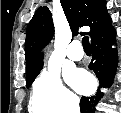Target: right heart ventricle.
I'll list each match as a JSON object with an SVG mask.
<instances>
[{
	"mask_svg": "<svg viewBox=\"0 0 121 113\" xmlns=\"http://www.w3.org/2000/svg\"><path fill=\"white\" fill-rule=\"evenodd\" d=\"M29 109L31 113H47L46 109L33 97L30 100Z\"/></svg>",
	"mask_w": 121,
	"mask_h": 113,
	"instance_id": "right-heart-ventricle-1",
	"label": "right heart ventricle"
}]
</instances>
